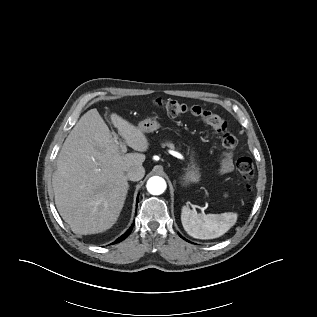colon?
<instances>
[{"label":"colon","instance_id":"colon-1","mask_svg":"<svg viewBox=\"0 0 317 317\" xmlns=\"http://www.w3.org/2000/svg\"><path fill=\"white\" fill-rule=\"evenodd\" d=\"M157 106L163 108L171 117L181 116L190 113L194 117L203 121L213 131L221 135V146L224 150H231L237 145V138L228 131L226 121L219 115L212 113L199 106H187L184 103L175 100L158 99ZM236 168L241 177L247 182V188L250 189V182L254 176V164L248 157H241L236 161Z\"/></svg>","mask_w":317,"mask_h":317}]
</instances>
